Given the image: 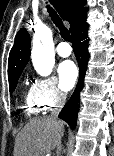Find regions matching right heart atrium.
<instances>
[{"label": "right heart atrium", "instance_id": "right-heart-atrium-1", "mask_svg": "<svg viewBox=\"0 0 114 156\" xmlns=\"http://www.w3.org/2000/svg\"><path fill=\"white\" fill-rule=\"evenodd\" d=\"M30 90L35 100L44 110L61 105L66 98L54 77L36 78Z\"/></svg>", "mask_w": 114, "mask_h": 156}]
</instances>
